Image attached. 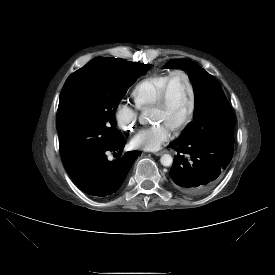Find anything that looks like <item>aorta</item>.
I'll list each match as a JSON object with an SVG mask.
<instances>
[{"label":"aorta","mask_w":275,"mask_h":275,"mask_svg":"<svg viewBox=\"0 0 275 275\" xmlns=\"http://www.w3.org/2000/svg\"><path fill=\"white\" fill-rule=\"evenodd\" d=\"M150 112L148 110H144L139 117L140 124H146L149 120ZM160 162L163 166L169 167L173 163V158L169 154H164L160 158Z\"/></svg>","instance_id":"obj_1"}]
</instances>
